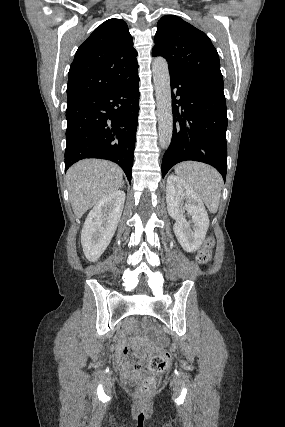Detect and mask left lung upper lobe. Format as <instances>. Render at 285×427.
I'll use <instances>...</instances> for the list:
<instances>
[{
	"instance_id": "left-lung-upper-lobe-1",
	"label": "left lung upper lobe",
	"mask_w": 285,
	"mask_h": 427,
	"mask_svg": "<svg viewBox=\"0 0 285 427\" xmlns=\"http://www.w3.org/2000/svg\"><path fill=\"white\" fill-rule=\"evenodd\" d=\"M153 56L164 57L172 76L223 88L218 53L208 36L180 17L163 16L157 24Z\"/></svg>"
}]
</instances>
